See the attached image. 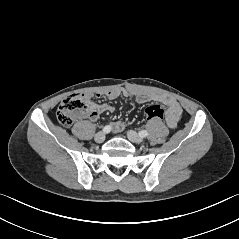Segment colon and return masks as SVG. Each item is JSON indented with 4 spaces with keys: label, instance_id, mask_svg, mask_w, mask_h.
Instances as JSON below:
<instances>
[{
    "label": "colon",
    "instance_id": "colon-1",
    "mask_svg": "<svg viewBox=\"0 0 239 239\" xmlns=\"http://www.w3.org/2000/svg\"><path fill=\"white\" fill-rule=\"evenodd\" d=\"M95 105L86 94L75 93L67 96L59 105L56 117L63 126H70L81 116H91ZM148 119L162 120L165 117L164 109L159 105H150L145 109Z\"/></svg>",
    "mask_w": 239,
    "mask_h": 239
}]
</instances>
